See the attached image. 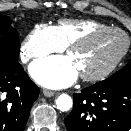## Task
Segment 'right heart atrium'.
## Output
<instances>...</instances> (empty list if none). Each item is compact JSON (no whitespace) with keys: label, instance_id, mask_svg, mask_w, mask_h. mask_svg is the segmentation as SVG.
I'll list each match as a JSON object with an SVG mask.
<instances>
[{"label":"right heart atrium","instance_id":"right-heart-atrium-1","mask_svg":"<svg viewBox=\"0 0 131 131\" xmlns=\"http://www.w3.org/2000/svg\"><path fill=\"white\" fill-rule=\"evenodd\" d=\"M64 49L52 26L36 25L21 45V57L25 62L42 59L53 52Z\"/></svg>","mask_w":131,"mask_h":131}]
</instances>
